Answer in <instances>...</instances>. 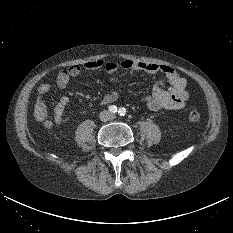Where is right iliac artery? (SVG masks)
<instances>
[{"label":"right iliac artery","instance_id":"1","mask_svg":"<svg viewBox=\"0 0 233 233\" xmlns=\"http://www.w3.org/2000/svg\"><path fill=\"white\" fill-rule=\"evenodd\" d=\"M108 110H109V112H111V113H115V112H117V107H116L115 105H110V106L108 107Z\"/></svg>","mask_w":233,"mask_h":233}]
</instances>
